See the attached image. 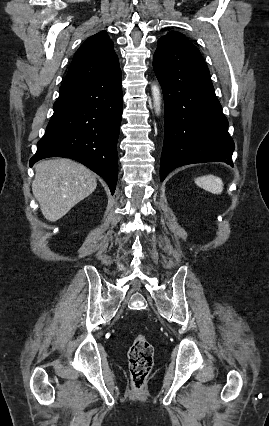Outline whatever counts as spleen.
I'll return each mask as SVG.
<instances>
[{
    "label": "spleen",
    "instance_id": "1",
    "mask_svg": "<svg viewBox=\"0 0 269 426\" xmlns=\"http://www.w3.org/2000/svg\"><path fill=\"white\" fill-rule=\"evenodd\" d=\"M198 186L213 194H221L224 184L221 178L214 175H206L195 179Z\"/></svg>",
    "mask_w": 269,
    "mask_h": 426
}]
</instances>
